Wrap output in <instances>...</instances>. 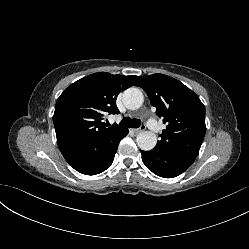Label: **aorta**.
<instances>
[{"label":"aorta","mask_w":249,"mask_h":249,"mask_svg":"<svg viewBox=\"0 0 249 249\" xmlns=\"http://www.w3.org/2000/svg\"><path fill=\"white\" fill-rule=\"evenodd\" d=\"M144 96L140 89L129 88L123 93V103L130 110H136L143 104ZM136 142L143 151L152 150L157 144V136L151 131H143L137 135Z\"/></svg>","instance_id":"aorta-1"}]
</instances>
